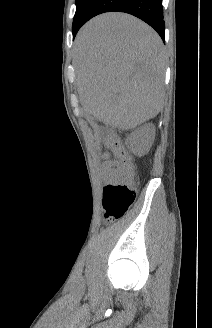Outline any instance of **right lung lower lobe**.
Segmentation results:
<instances>
[{"label": "right lung lower lobe", "instance_id": "obj_1", "mask_svg": "<svg viewBox=\"0 0 212 328\" xmlns=\"http://www.w3.org/2000/svg\"><path fill=\"white\" fill-rule=\"evenodd\" d=\"M112 11L129 13L142 19L154 28L164 41L165 22L162 0H95L81 26L98 14ZM79 28L73 32V37Z\"/></svg>", "mask_w": 212, "mask_h": 328}]
</instances>
